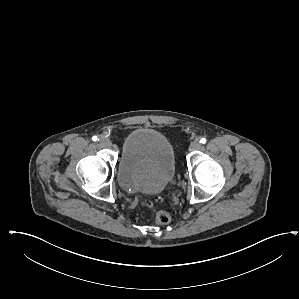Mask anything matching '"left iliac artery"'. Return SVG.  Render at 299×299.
<instances>
[{"instance_id":"44dca946","label":"left iliac artery","mask_w":299,"mask_h":299,"mask_svg":"<svg viewBox=\"0 0 299 299\" xmlns=\"http://www.w3.org/2000/svg\"><path fill=\"white\" fill-rule=\"evenodd\" d=\"M200 143L205 144L206 143V138H201Z\"/></svg>"}]
</instances>
